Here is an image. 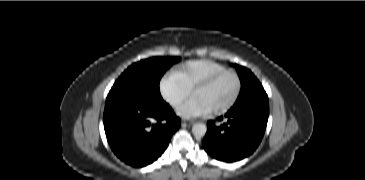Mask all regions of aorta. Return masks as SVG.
I'll return each instance as SVG.
<instances>
[{"label": "aorta", "mask_w": 365, "mask_h": 180, "mask_svg": "<svg viewBox=\"0 0 365 180\" xmlns=\"http://www.w3.org/2000/svg\"><path fill=\"white\" fill-rule=\"evenodd\" d=\"M207 132V126L204 123H195L192 126V133L196 137H203Z\"/></svg>", "instance_id": "obj_1"}]
</instances>
